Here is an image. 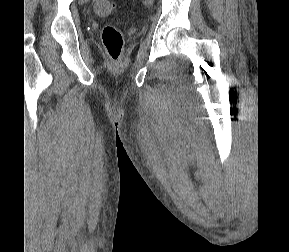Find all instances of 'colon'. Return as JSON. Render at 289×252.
I'll return each instance as SVG.
<instances>
[{"instance_id":"5ec220e1","label":"colon","mask_w":289,"mask_h":252,"mask_svg":"<svg viewBox=\"0 0 289 252\" xmlns=\"http://www.w3.org/2000/svg\"><path fill=\"white\" fill-rule=\"evenodd\" d=\"M95 9L100 15H109L114 11L115 4L112 0H97ZM101 39L111 61L119 62L124 46L122 32L114 25H105L101 31Z\"/></svg>"}]
</instances>
